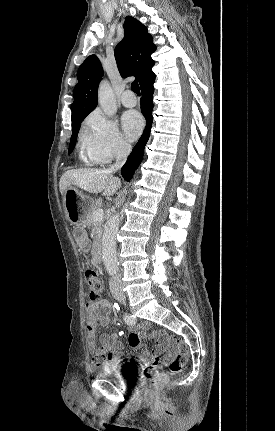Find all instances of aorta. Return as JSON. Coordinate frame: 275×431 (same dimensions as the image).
<instances>
[{"label":"aorta","mask_w":275,"mask_h":431,"mask_svg":"<svg viewBox=\"0 0 275 431\" xmlns=\"http://www.w3.org/2000/svg\"><path fill=\"white\" fill-rule=\"evenodd\" d=\"M98 101L104 113L112 117L117 111L115 95L107 81L101 82L98 89ZM120 215L115 213L105 223L102 235V254L106 271L114 275L118 271L116 237L119 228Z\"/></svg>","instance_id":"obj_1"}]
</instances>
